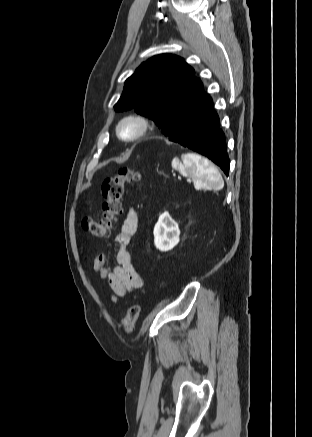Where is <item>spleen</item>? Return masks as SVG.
I'll return each mask as SVG.
<instances>
[{"instance_id":"3e777b00","label":"spleen","mask_w":312,"mask_h":437,"mask_svg":"<svg viewBox=\"0 0 312 437\" xmlns=\"http://www.w3.org/2000/svg\"><path fill=\"white\" fill-rule=\"evenodd\" d=\"M181 160L174 158L172 167L180 173L191 177L195 185L205 189L221 190L223 178L218 169L206 158L194 153L181 155Z\"/></svg>"}]
</instances>
